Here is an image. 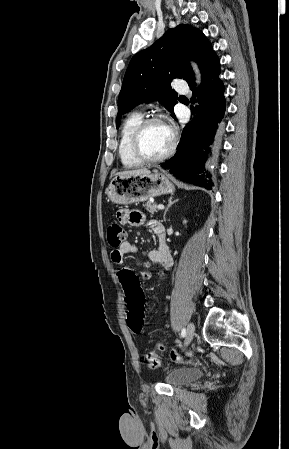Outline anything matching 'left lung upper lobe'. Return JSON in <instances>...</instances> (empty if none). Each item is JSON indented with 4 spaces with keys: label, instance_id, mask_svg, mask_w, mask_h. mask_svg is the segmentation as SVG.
I'll return each mask as SVG.
<instances>
[{
    "label": "left lung upper lobe",
    "instance_id": "left-lung-upper-lobe-1",
    "mask_svg": "<svg viewBox=\"0 0 289 449\" xmlns=\"http://www.w3.org/2000/svg\"><path fill=\"white\" fill-rule=\"evenodd\" d=\"M211 51L212 45L199 29L181 24L169 29L149 48L135 54L119 93L116 127L119 128L123 114L138 104L153 100L163 104L174 116L177 93L170 83L175 78L191 82L194 73L188 59H193L201 67Z\"/></svg>",
    "mask_w": 289,
    "mask_h": 449
}]
</instances>
